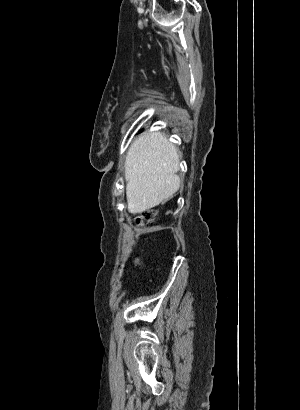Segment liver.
<instances>
[{
    "label": "liver",
    "mask_w": 300,
    "mask_h": 410,
    "mask_svg": "<svg viewBox=\"0 0 300 410\" xmlns=\"http://www.w3.org/2000/svg\"><path fill=\"white\" fill-rule=\"evenodd\" d=\"M180 155L164 133H144L126 158V198L130 213H142L167 201L179 188Z\"/></svg>",
    "instance_id": "obj_1"
}]
</instances>
